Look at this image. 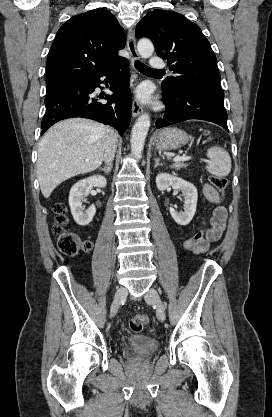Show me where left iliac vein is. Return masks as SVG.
Returning a JSON list of instances; mask_svg holds the SVG:
<instances>
[{
	"label": "left iliac vein",
	"instance_id": "1",
	"mask_svg": "<svg viewBox=\"0 0 272 417\" xmlns=\"http://www.w3.org/2000/svg\"><path fill=\"white\" fill-rule=\"evenodd\" d=\"M145 301L156 307V316L159 321L163 322L166 318L164 304L154 288H150L145 294Z\"/></svg>",
	"mask_w": 272,
	"mask_h": 417
}]
</instances>
